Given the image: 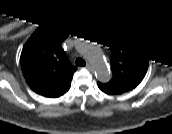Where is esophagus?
Returning <instances> with one entry per match:
<instances>
[{
  "mask_svg": "<svg viewBox=\"0 0 172 134\" xmlns=\"http://www.w3.org/2000/svg\"><path fill=\"white\" fill-rule=\"evenodd\" d=\"M88 70H91V65L89 63H86V66H85Z\"/></svg>",
  "mask_w": 172,
  "mask_h": 134,
  "instance_id": "esophagus-1",
  "label": "esophagus"
}]
</instances>
